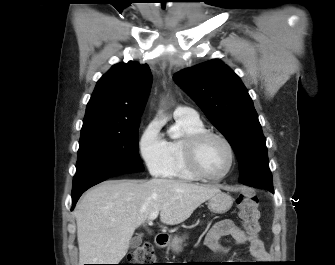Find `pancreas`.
I'll list each match as a JSON object with an SVG mask.
<instances>
[{"label":"pancreas","instance_id":"cf45deb5","mask_svg":"<svg viewBox=\"0 0 335 265\" xmlns=\"http://www.w3.org/2000/svg\"><path fill=\"white\" fill-rule=\"evenodd\" d=\"M183 239H179V238H174L171 244V248L174 252L178 253L182 250V244Z\"/></svg>","mask_w":335,"mask_h":265}]
</instances>
